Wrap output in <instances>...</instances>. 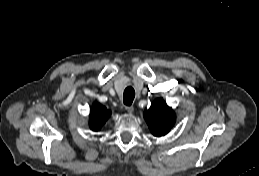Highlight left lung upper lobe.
<instances>
[{
  "label": "left lung upper lobe",
  "mask_w": 259,
  "mask_h": 176,
  "mask_svg": "<svg viewBox=\"0 0 259 176\" xmlns=\"http://www.w3.org/2000/svg\"><path fill=\"white\" fill-rule=\"evenodd\" d=\"M145 120L154 136H163L167 134L175 122L173 110L158 98L154 105L144 113Z\"/></svg>",
  "instance_id": "obj_1"
}]
</instances>
